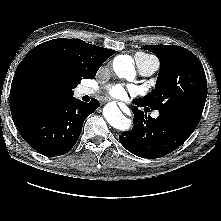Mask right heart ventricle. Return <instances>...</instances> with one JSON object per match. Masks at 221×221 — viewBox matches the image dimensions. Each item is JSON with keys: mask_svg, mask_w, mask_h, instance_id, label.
Listing matches in <instances>:
<instances>
[{"mask_svg": "<svg viewBox=\"0 0 221 221\" xmlns=\"http://www.w3.org/2000/svg\"><path fill=\"white\" fill-rule=\"evenodd\" d=\"M138 55L143 57V58H152V56L147 55V54H143V53H139Z\"/></svg>", "mask_w": 221, "mask_h": 221, "instance_id": "1", "label": "right heart ventricle"}]
</instances>
